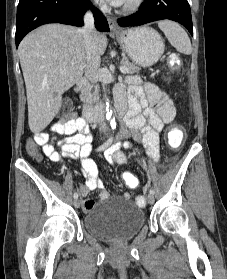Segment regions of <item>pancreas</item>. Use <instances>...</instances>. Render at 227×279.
Wrapping results in <instances>:
<instances>
[{
	"instance_id": "1",
	"label": "pancreas",
	"mask_w": 227,
	"mask_h": 279,
	"mask_svg": "<svg viewBox=\"0 0 227 279\" xmlns=\"http://www.w3.org/2000/svg\"><path fill=\"white\" fill-rule=\"evenodd\" d=\"M121 64L128 69L127 73L134 74L140 71V68L131 63L127 58H123ZM82 100L90 106L98 105L100 103L99 86L96 85L94 89L91 85L86 86L82 91Z\"/></svg>"
}]
</instances>
